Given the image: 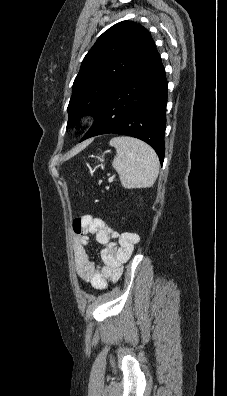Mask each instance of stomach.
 Segmentation results:
<instances>
[{"mask_svg": "<svg viewBox=\"0 0 227 396\" xmlns=\"http://www.w3.org/2000/svg\"><path fill=\"white\" fill-rule=\"evenodd\" d=\"M99 160H101V157H97Z\"/></svg>", "mask_w": 227, "mask_h": 396, "instance_id": "obj_1", "label": "stomach"}]
</instances>
